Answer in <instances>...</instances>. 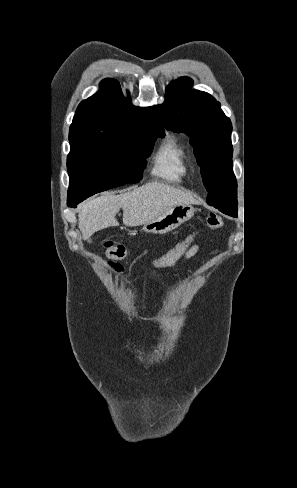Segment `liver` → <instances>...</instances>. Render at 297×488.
Returning <instances> with one entry per match:
<instances>
[{
    "label": "liver",
    "instance_id": "1",
    "mask_svg": "<svg viewBox=\"0 0 297 488\" xmlns=\"http://www.w3.org/2000/svg\"><path fill=\"white\" fill-rule=\"evenodd\" d=\"M193 196L173 186L150 182L120 195L105 194L84 202L79 210V229L83 239L89 240L97 231L118 226L115 218L123 209V223L139 226L150 222L169 208L195 203Z\"/></svg>",
    "mask_w": 297,
    "mask_h": 488
}]
</instances>
